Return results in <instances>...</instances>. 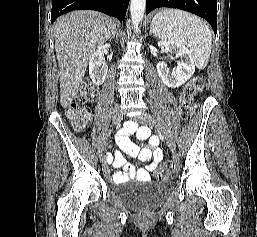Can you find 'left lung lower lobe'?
<instances>
[{
    "label": "left lung lower lobe",
    "mask_w": 257,
    "mask_h": 237,
    "mask_svg": "<svg viewBox=\"0 0 257 237\" xmlns=\"http://www.w3.org/2000/svg\"><path fill=\"white\" fill-rule=\"evenodd\" d=\"M182 9L206 19L217 32V0H147V14L155 8Z\"/></svg>",
    "instance_id": "left-lung-lower-lobe-1"
}]
</instances>
